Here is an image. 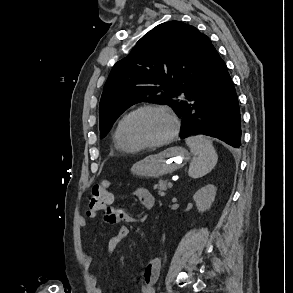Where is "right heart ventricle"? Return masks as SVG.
Returning a JSON list of instances; mask_svg holds the SVG:
<instances>
[{"instance_id": "e07e8e85", "label": "right heart ventricle", "mask_w": 293, "mask_h": 293, "mask_svg": "<svg viewBox=\"0 0 293 293\" xmlns=\"http://www.w3.org/2000/svg\"><path fill=\"white\" fill-rule=\"evenodd\" d=\"M127 117V114L122 116L116 123L114 131H113V142L117 150L122 152H135L139 150V148L134 147L128 144L124 138V122Z\"/></svg>"}]
</instances>
